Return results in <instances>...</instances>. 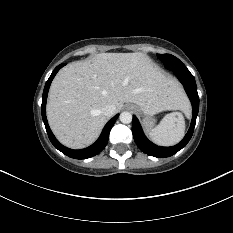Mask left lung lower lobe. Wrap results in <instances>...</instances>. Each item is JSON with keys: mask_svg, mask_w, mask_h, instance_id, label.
Masks as SVG:
<instances>
[{"mask_svg": "<svg viewBox=\"0 0 233 233\" xmlns=\"http://www.w3.org/2000/svg\"><path fill=\"white\" fill-rule=\"evenodd\" d=\"M173 71L176 77L183 84L186 93L191 101L193 109L191 125L183 140L172 147L157 146L145 137L138 119L133 116L132 133L136 144L144 153L157 158L172 156L186 146L193 135L196 118L199 111V96L197 93V86L193 75L188 69H174Z\"/></svg>", "mask_w": 233, "mask_h": 233, "instance_id": "1", "label": "left lung lower lobe"}]
</instances>
